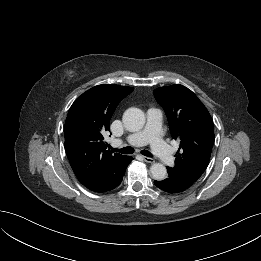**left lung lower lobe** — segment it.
<instances>
[{
    "instance_id": "1",
    "label": "left lung lower lobe",
    "mask_w": 261,
    "mask_h": 261,
    "mask_svg": "<svg viewBox=\"0 0 261 261\" xmlns=\"http://www.w3.org/2000/svg\"><path fill=\"white\" fill-rule=\"evenodd\" d=\"M168 177L162 181H154L162 191L168 193H179L187 190L192 186V182L182 177L180 174L173 171L170 167H167Z\"/></svg>"
}]
</instances>
